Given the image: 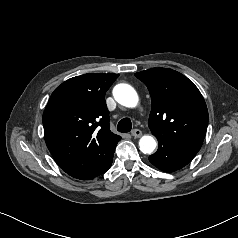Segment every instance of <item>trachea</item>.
Instances as JSON below:
<instances>
[{
    "mask_svg": "<svg viewBox=\"0 0 238 238\" xmlns=\"http://www.w3.org/2000/svg\"><path fill=\"white\" fill-rule=\"evenodd\" d=\"M132 129V123L129 118H123L122 120L119 121L117 125V130L121 133H127L131 131Z\"/></svg>",
    "mask_w": 238,
    "mask_h": 238,
    "instance_id": "obj_1",
    "label": "trachea"
}]
</instances>
